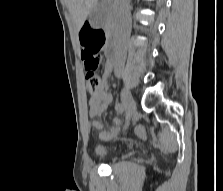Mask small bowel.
I'll list each match as a JSON object with an SVG mask.
<instances>
[{
	"label": "small bowel",
	"instance_id": "obj_1",
	"mask_svg": "<svg viewBox=\"0 0 223 191\" xmlns=\"http://www.w3.org/2000/svg\"><path fill=\"white\" fill-rule=\"evenodd\" d=\"M114 70V63H111L109 60L105 64L104 73H103V84L102 87L91 94L89 98V117L92 118L91 125L98 133V136L102 140H111L115 138L121 131L124 124V119L114 118L113 123L115 127L108 130H103L102 123L100 120L96 119L101 116L102 113L107 109V107L112 102V94L109 91L108 83L109 78ZM117 109V108H116ZM118 111V110H117Z\"/></svg>",
	"mask_w": 223,
	"mask_h": 191
}]
</instances>
